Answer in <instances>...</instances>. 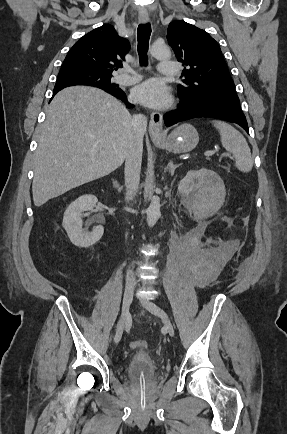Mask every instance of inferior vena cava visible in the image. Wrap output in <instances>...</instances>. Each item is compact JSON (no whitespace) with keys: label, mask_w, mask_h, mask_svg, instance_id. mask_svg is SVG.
I'll list each match as a JSON object with an SVG mask.
<instances>
[{"label":"inferior vena cava","mask_w":287,"mask_h":434,"mask_svg":"<svg viewBox=\"0 0 287 434\" xmlns=\"http://www.w3.org/2000/svg\"><path fill=\"white\" fill-rule=\"evenodd\" d=\"M132 126L134 130V136L128 153L126 155L124 171L126 186L125 199L127 201L133 199V196L137 192L139 186L143 150V136L147 127V118L142 114L133 115ZM126 282H135L134 273L130 269L127 271L126 274Z\"/></svg>","instance_id":"602c4592"}]
</instances>
